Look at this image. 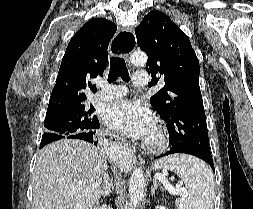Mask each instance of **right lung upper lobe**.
<instances>
[{
    "instance_id": "obj_1",
    "label": "right lung upper lobe",
    "mask_w": 253,
    "mask_h": 209,
    "mask_svg": "<svg viewBox=\"0 0 253 209\" xmlns=\"http://www.w3.org/2000/svg\"><path fill=\"white\" fill-rule=\"evenodd\" d=\"M117 27L104 18L86 22L70 40L63 56L57 81L52 91L47 113L64 107L85 105L88 82L102 76L108 62V45Z\"/></svg>"
}]
</instances>
